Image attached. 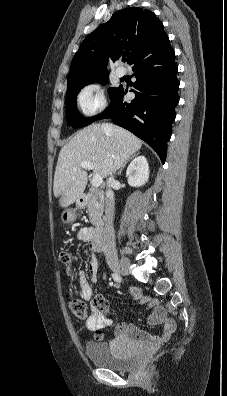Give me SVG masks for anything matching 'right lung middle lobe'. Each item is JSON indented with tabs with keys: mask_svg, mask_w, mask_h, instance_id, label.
<instances>
[{
	"mask_svg": "<svg viewBox=\"0 0 227 396\" xmlns=\"http://www.w3.org/2000/svg\"><path fill=\"white\" fill-rule=\"evenodd\" d=\"M94 82H99L103 85L107 84L108 82V74L102 75L100 77H96L90 80L82 81L71 88L67 89L66 95V118L67 124L72 126L73 128H79L83 126H87L95 121L96 116L85 118L83 117L77 110L76 106V98L77 94L79 93L80 89H82L85 85L91 84ZM118 88H109V94L111 99L114 97L115 93L119 90Z\"/></svg>",
	"mask_w": 227,
	"mask_h": 396,
	"instance_id": "dd1d6c3e",
	"label": "right lung middle lobe"
}]
</instances>
